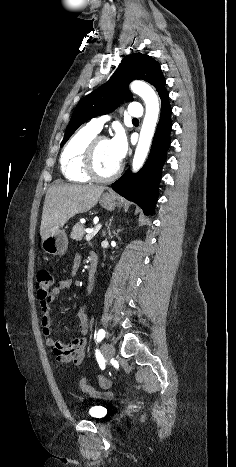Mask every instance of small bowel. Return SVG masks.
<instances>
[{
  "label": "small bowel",
  "mask_w": 236,
  "mask_h": 467,
  "mask_svg": "<svg viewBox=\"0 0 236 467\" xmlns=\"http://www.w3.org/2000/svg\"><path fill=\"white\" fill-rule=\"evenodd\" d=\"M94 260V259H93ZM81 257L76 256L73 262V272H75L80 265ZM72 279L66 278L61 280L58 285L53 289L51 295L46 300L41 301L40 308L42 312L41 324L42 332L45 336L46 345L52 348V352L56 361L61 366H67L72 363L76 366L80 365L86 356V335L89 331V319L86 313V308L82 307L76 314L78 328L81 333L80 337L72 338L69 343L65 344L52 335L51 330V303L65 290L72 286Z\"/></svg>",
  "instance_id": "1"
}]
</instances>
